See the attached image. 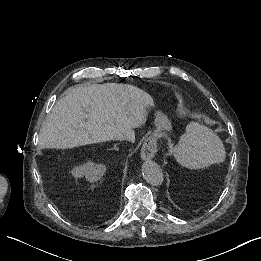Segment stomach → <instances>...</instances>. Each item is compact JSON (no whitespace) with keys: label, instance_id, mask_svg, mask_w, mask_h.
I'll use <instances>...</instances> for the list:
<instances>
[{"label":"stomach","instance_id":"obj_1","mask_svg":"<svg viewBox=\"0 0 261 261\" xmlns=\"http://www.w3.org/2000/svg\"><path fill=\"white\" fill-rule=\"evenodd\" d=\"M155 125L157 132L170 131L172 129L170 120L160 111L155 112Z\"/></svg>","mask_w":261,"mask_h":261}]
</instances>
